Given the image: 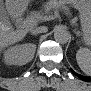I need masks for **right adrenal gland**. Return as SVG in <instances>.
Here are the masks:
<instances>
[{
  "label": "right adrenal gland",
  "instance_id": "1",
  "mask_svg": "<svg viewBox=\"0 0 91 91\" xmlns=\"http://www.w3.org/2000/svg\"><path fill=\"white\" fill-rule=\"evenodd\" d=\"M31 35H37V34H34V33L31 32Z\"/></svg>",
  "mask_w": 91,
  "mask_h": 91
}]
</instances>
